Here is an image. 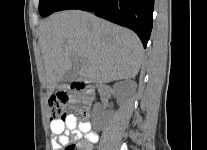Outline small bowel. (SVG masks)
<instances>
[{"instance_id": "small-bowel-1", "label": "small bowel", "mask_w": 207, "mask_h": 150, "mask_svg": "<svg viewBox=\"0 0 207 150\" xmlns=\"http://www.w3.org/2000/svg\"><path fill=\"white\" fill-rule=\"evenodd\" d=\"M53 135L52 148L66 150L73 141H77L76 150H92L98 136L91 129L89 121H78L75 115L68 114L64 119L50 121Z\"/></svg>"}]
</instances>
